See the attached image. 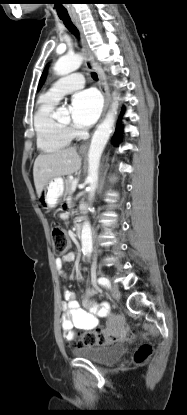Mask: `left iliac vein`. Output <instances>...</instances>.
Segmentation results:
<instances>
[{
	"label": "left iliac vein",
	"instance_id": "left-iliac-vein-1",
	"mask_svg": "<svg viewBox=\"0 0 187 415\" xmlns=\"http://www.w3.org/2000/svg\"><path fill=\"white\" fill-rule=\"evenodd\" d=\"M111 295H112V297H113L115 300H119V299H120L121 294H120V291H119L118 286L114 285V286L111 288Z\"/></svg>",
	"mask_w": 187,
	"mask_h": 415
}]
</instances>
